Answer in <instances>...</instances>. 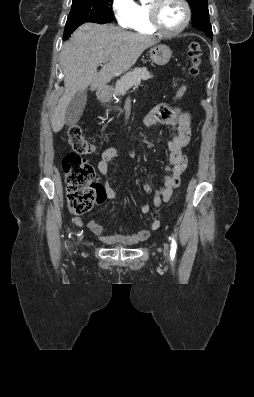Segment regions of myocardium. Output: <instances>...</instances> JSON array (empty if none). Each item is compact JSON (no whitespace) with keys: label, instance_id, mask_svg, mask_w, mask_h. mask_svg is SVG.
Listing matches in <instances>:
<instances>
[{"label":"myocardium","instance_id":"f54148a6","mask_svg":"<svg viewBox=\"0 0 254 397\" xmlns=\"http://www.w3.org/2000/svg\"><path fill=\"white\" fill-rule=\"evenodd\" d=\"M184 8V19L182 24L175 30H166L164 29L159 21V10L161 5L165 2V0H153L149 4V20L151 27L154 31L163 36H177L182 33L188 26L191 19V9L186 0H177Z\"/></svg>","mask_w":254,"mask_h":397}]
</instances>
